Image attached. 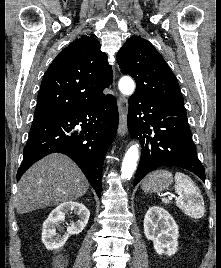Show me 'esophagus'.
Segmentation results:
<instances>
[{
	"label": "esophagus",
	"mask_w": 221,
	"mask_h": 268,
	"mask_svg": "<svg viewBox=\"0 0 221 268\" xmlns=\"http://www.w3.org/2000/svg\"><path fill=\"white\" fill-rule=\"evenodd\" d=\"M118 111H119V127L118 134L119 136H125L127 132V115H128V104L127 100L124 97H119L118 99Z\"/></svg>",
	"instance_id": "obj_1"
}]
</instances>
